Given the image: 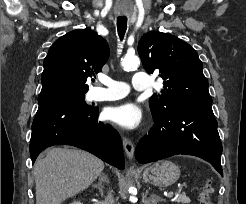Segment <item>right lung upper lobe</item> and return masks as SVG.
I'll return each mask as SVG.
<instances>
[{
  "label": "right lung upper lobe",
  "instance_id": "obj_1",
  "mask_svg": "<svg viewBox=\"0 0 246 204\" xmlns=\"http://www.w3.org/2000/svg\"><path fill=\"white\" fill-rule=\"evenodd\" d=\"M109 57L105 39L90 29L70 31L56 40L44 59L38 101L86 93L87 78L100 72Z\"/></svg>",
  "mask_w": 246,
  "mask_h": 204
}]
</instances>
